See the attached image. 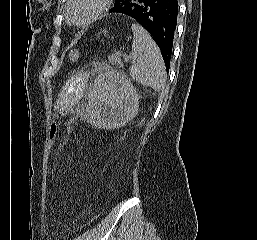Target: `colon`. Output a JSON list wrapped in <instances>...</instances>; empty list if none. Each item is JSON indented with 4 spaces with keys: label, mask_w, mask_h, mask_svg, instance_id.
I'll return each mask as SVG.
<instances>
[{
    "label": "colon",
    "mask_w": 257,
    "mask_h": 240,
    "mask_svg": "<svg viewBox=\"0 0 257 240\" xmlns=\"http://www.w3.org/2000/svg\"><path fill=\"white\" fill-rule=\"evenodd\" d=\"M80 57V52L77 49H73L69 53V58L71 61H77ZM59 124L56 121H53L48 130V136L51 141H54L58 136Z\"/></svg>",
    "instance_id": "obj_1"
}]
</instances>
